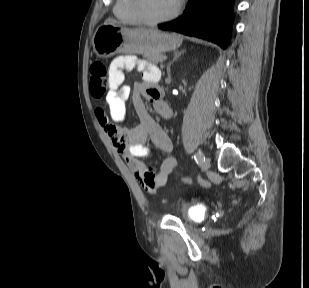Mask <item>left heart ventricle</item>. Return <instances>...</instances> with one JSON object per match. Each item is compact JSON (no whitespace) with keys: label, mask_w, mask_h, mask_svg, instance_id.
<instances>
[{"label":"left heart ventricle","mask_w":309,"mask_h":288,"mask_svg":"<svg viewBox=\"0 0 309 288\" xmlns=\"http://www.w3.org/2000/svg\"><path fill=\"white\" fill-rule=\"evenodd\" d=\"M177 3L178 0H143V10L150 18H160L172 12Z\"/></svg>","instance_id":"left-heart-ventricle-1"}]
</instances>
